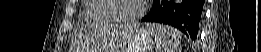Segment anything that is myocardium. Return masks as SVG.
Returning <instances> with one entry per match:
<instances>
[{"mask_svg":"<svg viewBox=\"0 0 261 52\" xmlns=\"http://www.w3.org/2000/svg\"><path fill=\"white\" fill-rule=\"evenodd\" d=\"M118 0H110L108 4V8L110 9L112 13V17L115 23H122V24H132L137 22L145 13L146 10V1L142 0L141 5L139 10L137 11L136 14L130 16V17H120V16H115L114 11H115V6L116 2Z\"/></svg>","mask_w":261,"mask_h":52,"instance_id":"1","label":"myocardium"}]
</instances>
